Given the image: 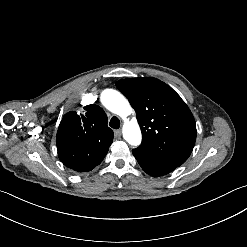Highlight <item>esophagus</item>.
Instances as JSON below:
<instances>
[{"label": "esophagus", "instance_id": "obj_1", "mask_svg": "<svg viewBox=\"0 0 247 247\" xmlns=\"http://www.w3.org/2000/svg\"><path fill=\"white\" fill-rule=\"evenodd\" d=\"M114 137H115V138L121 137V130H115V131H114Z\"/></svg>", "mask_w": 247, "mask_h": 247}]
</instances>
